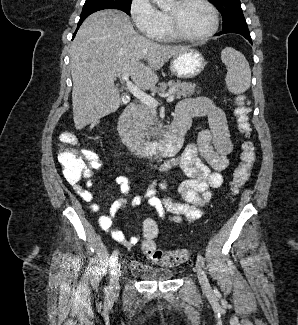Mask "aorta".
<instances>
[{
    "label": "aorta",
    "mask_w": 298,
    "mask_h": 325,
    "mask_svg": "<svg viewBox=\"0 0 298 325\" xmlns=\"http://www.w3.org/2000/svg\"><path fill=\"white\" fill-rule=\"evenodd\" d=\"M151 2H155L159 8H171V6H174L176 0H151Z\"/></svg>",
    "instance_id": "1"
}]
</instances>
